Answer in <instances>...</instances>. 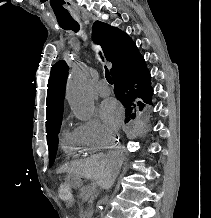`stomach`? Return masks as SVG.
<instances>
[{"instance_id":"0dacf381","label":"stomach","mask_w":211,"mask_h":218,"mask_svg":"<svg viewBox=\"0 0 211 218\" xmlns=\"http://www.w3.org/2000/svg\"><path fill=\"white\" fill-rule=\"evenodd\" d=\"M67 182L72 188H79L82 186V181L77 174L71 173L67 176Z\"/></svg>"}]
</instances>
